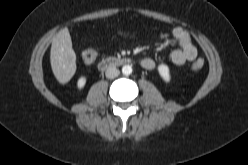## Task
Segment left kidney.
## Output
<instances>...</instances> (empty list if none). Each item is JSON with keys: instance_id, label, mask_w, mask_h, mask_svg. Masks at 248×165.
<instances>
[{"instance_id": "left-kidney-1", "label": "left kidney", "mask_w": 248, "mask_h": 165, "mask_svg": "<svg viewBox=\"0 0 248 165\" xmlns=\"http://www.w3.org/2000/svg\"><path fill=\"white\" fill-rule=\"evenodd\" d=\"M158 72L165 82L170 81L169 67L165 64H160L158 66Z\"/></svg>"}]
</instances>
